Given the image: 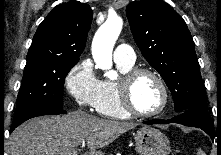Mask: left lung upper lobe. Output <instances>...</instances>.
Wrapping results in <instances>:
<instances>
[{
	"label": "left lung upper lobe",
	"mask_w": 221,
	"mask_h": 155,
	"mask_svg": "<svg viewBox=\"0 0 221 155\" xmlns=\"http://www.w3.org/2000/svg\"><path fill=\"white\" fill-rule=\"evenodd\" d=\"M126 13L142 55L170 89L175 111L207 106L194 42L183 18L162 0L131 2Z\"/></svg>",
	"instance_id": "1"
}]
</instances>
